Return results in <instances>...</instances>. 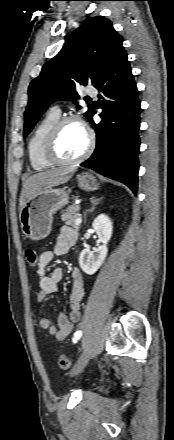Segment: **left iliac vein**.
<instances>
[{
	"label": "left iliac vein",
	"mask_w": 174,
	"mask_h": 440,
	"mask_svg": "<svg viewBox=\"0 0 174 440\" xmlns=\"http://www.w3.org/2000/svg\"><path fill=\"white\" fill-rule=\"evenodd\" d=\"M90 355H91V350L90 348L85 349L81 356L79 357L77 363L75 364V366L72 368V370L70 371V376H76L78 375L86 366V364L88 363L89 359H90Z\"/></svg>",
	"instance_id": "4c4485c4"
}]
</instances>
